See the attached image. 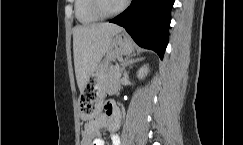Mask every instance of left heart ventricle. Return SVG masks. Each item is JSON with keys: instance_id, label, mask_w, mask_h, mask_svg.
Wrapping results in <instances>:
<instances>
[{"instance_id": "obj_1", "label": "left heart ventricle", "mask_w": 243, "mask_h": 145, "mask_svg": "<svg viewBox=\"0 0 243 145\" xmlns=\"http://www.w3.org/2000/svg\"><path fill=\"white\" fill-rule=\"evenodd\" d=\"M124 0H104V6L107 10H115L123 3Z\"/></svg>"}]
</instances>
